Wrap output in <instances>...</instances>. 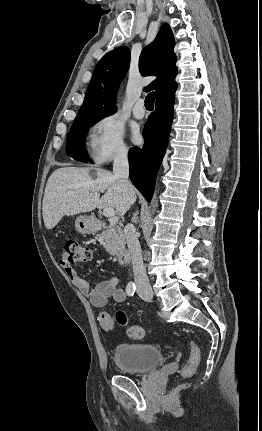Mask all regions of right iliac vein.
Masks as SVG:
<instances>
[{
	"instance_id": "63e3f726",
	"label": "right iliac vein",
	"mask_w": 262,
	"mask_h": 431,
	"mask_svg": "<svg viewBox=\"0 0 262 431\" xmlns=\"http://www.w3.org/2000/svg\"><path fill=\"white\" fill-rule=\"evenodd\" d=\"M139 294H140V296L143 299H146V300H151L153 298V293L152 292H143V291H140Z\"/></svg>"
}]
</instances>
